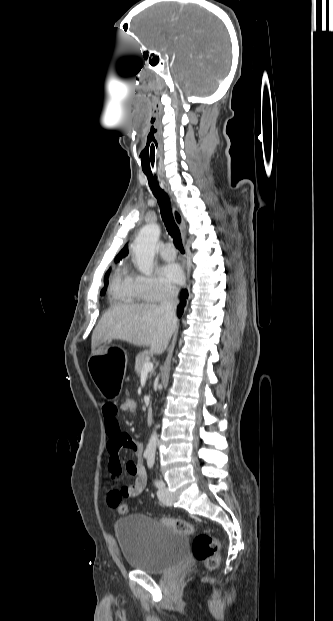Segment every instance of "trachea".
<instances>
[{
    "instance_id": "3493384b",
    "label": "trachea",
    "mask_w": 333,
    "mask_h": 621,
    "mask_svg": "<svg viewBox=\"0 0 333 621\" xmlns=\"http://www.w3.org/2000/svg\"><path fill=\"white\" fill-rule=\"evenodd\" d=\"M144 173L148 179L150 189L154 193L155 197L158 199L161 216L165 227L169 235L173 238L175 246L179 249L180 252L183 253L184 248L182 244L181 233L173 217L169 196L166 192H164L163 189L159 187L156 176L154 177L151 173L148 172Z\"/></svg>"
}]
</instances>
